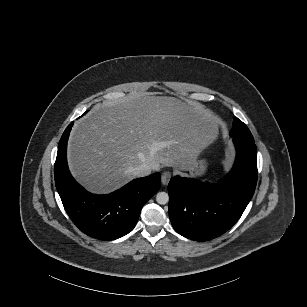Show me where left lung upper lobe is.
<instances>
[{
  "instance_id": "obj_1",
  "label": "left lung upper lobe",
  "mask_w": 307,
  "mask_h": 307,
  "mask_svg": "<svg viewBox=\"0 0 307 307\" xmlns=\"http://www.w3.org/2000/svg\"><path fill=\"white\" fill-rule=\"evenodd\" d=\"M230 136L233 138H244L254 140L248 127L238 118H234L233 127L230 131Z\"/></svg>"
}]
</instances>
